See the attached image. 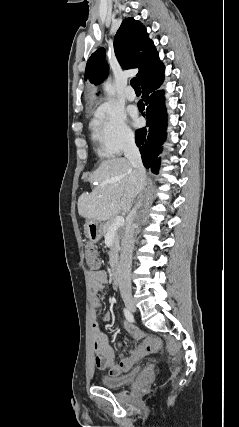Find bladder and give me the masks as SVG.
I'll use <instances>...</instances> for the list:
<instances>
[{
    "instance_id": "31cf9c89",
    "label": "bladder",
    "mask_w": 239,
    "mask_h": 427,
    "mask_svg": "<svg viewBox=\"0 0 239 427\" xmlns=\"http://www.w3.org/2000/svg\"><path fill=\"white\" fill-rule=\"evenodd\" d=\"M140 369L134 368L129 373L124 375H103L100 378L101 384L107 388H119L132 382L139 374Z\"/></svg>"
}]
</instances>
